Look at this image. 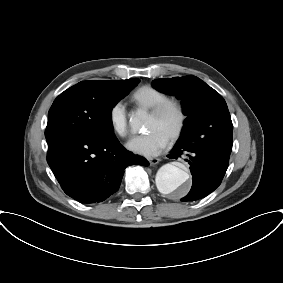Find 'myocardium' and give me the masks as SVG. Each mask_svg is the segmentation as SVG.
Wrapping results in <instances>:
<instances>
[{
    "mask_svg": "<svg viewBox=\"0 0 283 283\" xmlns=\"http://www.w3.org/2000/svg\"><path fill=\"white\" fill-rule=\"evenodd\" d=\"M173 109L177 112L178 121L174 131L170 134L168 139L174 141L183 133L188 115L183 102L177 98L169 97L150 109V115L158 117L165 114L168 110Z\"/></svg>",
    "mask_w": 283,
    "mask_h": 283,
    "instance_id": "myocardium-1",
    "label": "myocardium"
}]
</instances>
